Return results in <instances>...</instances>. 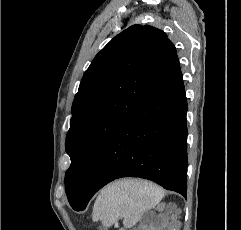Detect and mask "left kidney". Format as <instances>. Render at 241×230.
Returning a JSON list of instances; mask_svg holds the SVG:
<instances>
[{
  "label": "left kidney",
  "mask_w": 241,
  "mask_h": 230,
  "mask_svg": "<svg viewBox=\"0 0 241 230\" xmlns=\"http://www.w3.org/2000/svg\"><path fill=\"white\" fill-rule=\"evenodd\" d=\"M134 230H138V229H134ZM141 230H148L146 227H141Z\"/></svg>",
  "instance_id": "left-kidney-1"
}]
</instances>
